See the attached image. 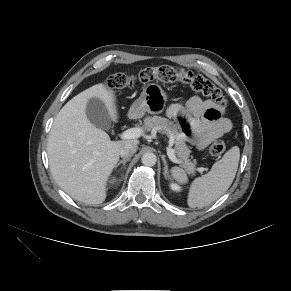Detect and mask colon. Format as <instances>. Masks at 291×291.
<instances>
[{"instance_id":"5ec220e1","label":"colon","mask_w":291,"mask_h":291,"mask_svg":"<svg viewBox=\"0 0 291 291\" xmlns=\"http://www.w3.org/2000/svg\"><path fill=\"white\" fill-rule=\"evenodd\" d=\"M155 81L182 82L209 97L222 108L227 104L224 93L211 81L201 75L172 66L145 67L137 75L115 73L107 79L106 84L110 88L123 89L133 87L138 83L147 84ZM224 151L225 143L222 140L214 141L209 148V153L212 156H220Z\"/></svg>"}]
</instances>
